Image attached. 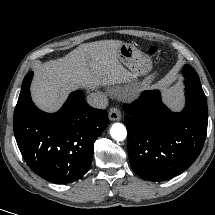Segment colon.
Returning <instances> with one entry per match:
<instances>
[{
	"label": "colon",
	"instance_id": "colon-1",
	"mask_svg": "<svg viewBox=\"0 0 215 215\" xmlns=\"http://www.w3.org/2000/svg\"><path fill=\"white\" fill-rule=\"evenodd\" d=\"M148 50H149V53L152 55L157 53V47L156 46H150Z\"/></svg>",
	"mask_w": 215,
	"mask_h": 215
}]
</instances>
